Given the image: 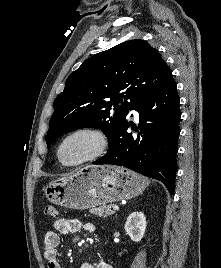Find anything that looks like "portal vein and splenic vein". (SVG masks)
Returning <instances> with one entry per match:
<instances>
[{
	"label": "portal vein and splenic vein",
	"mask_w": 221,
	"mask_h": 268,
	"mask_svg": "<svg viewBox=\"0 0 221 268\" xmlns=\"http://www.w3.org/2000/svg\"><path fill=\"white\" fill-rule=\"evenodd\" d=\"M113 210H119V206L117 205L113 206Z\"/></svg>",
	"instance_id": "1"
}]
</instances>
